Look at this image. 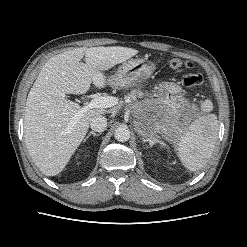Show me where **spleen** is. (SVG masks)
I'll list each match as a JSON object with an SVG mask.
<instances>
[{"mask_svg":"<svg viewBox=\"0 0 247 247\" xmlns=\"http://www.w3.org/2000/svg\"><path fill=\"white\" fill-rule=\"evenodd\" d=\"M201 108L208 114L195 119L176 145L182 164L190 171L199 170L208 162L218 138L217 117L209 114L213 110L212 102L204 101Z\"/></svg>","mask_w":247,"mask_h":247,"instance_id":"spleen-1","label":"spleen"}]
</instances>
